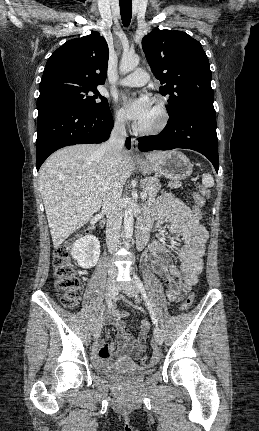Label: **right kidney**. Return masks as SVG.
I'll use <instances>...</instances> for the list:
<instances>
[{"label":"right kidney","mask_w":259,"mask_h":431,"mask_svg":"<svg viewBox=\"0 0 259 431\" xmlns=\"http://www.w3.org/2000/svg\"><path fill=\"white\" fill-rule=\"evenodd\" d=\"M72 257L85 269L94 267L100 255V242L93 235L80 237L72 246Z\"/></svg>","instance_id":"ca27d5eb"}]
</instances>
